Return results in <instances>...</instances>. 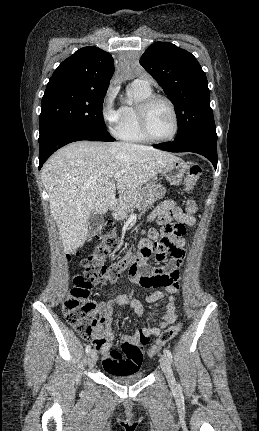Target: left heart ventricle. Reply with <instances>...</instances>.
I'll return each instance as SVG.
<instances>
[{
  "instance_id": "left-heart-ventricle-1",
  "label": "left heart ventricle",
  "mask_w": 259,
  "mask_h": 431,
  "mask_svg": "<svg viewBox=\"0 0 259 431\" xmlns=\"http://www.w3.org/2000/svg\"><path fill=\"white\" fill-rule=\"evenodd\" d=\"M173 127V116L168 105L163 101L155 102L149 113L151 134L156 138H166L172 133Z\"/></svg>"
}]
</instances>
